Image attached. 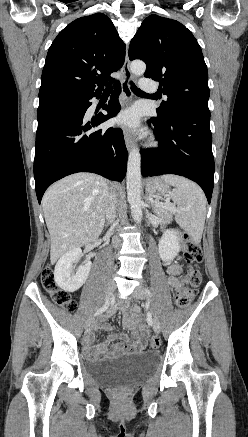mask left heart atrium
<instances>
[{
	"label": "left heart atrium",
	"instance_id": "obj_1",
	"mask_svg": "<svg viewBox=\"0 0 248 437\" xmlns=\"http://www.w3.org/2000/svg\"><path fill=\"white\" fill-rule=\"evenodd\" d=\"M116 122L124 127H134L138 122V113L134 109L122 112Z\"/></svg>",
	"mask_w": 248,
	"mask_h": 437
}]
</instances>
